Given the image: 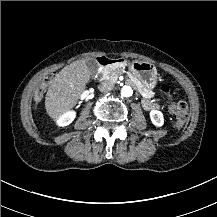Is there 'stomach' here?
Instances as JSON below:
<instances>
[{
	"mask_svg": "<svg viewBox=\"0 0 217 217\" xmlns=\"http://www.w3.org/2000/svg\"><path fill=\"white\" fill-rule=\"evenodd\" d=\"M132 74L148 88L153 89L157 84L158 74L156 66L146 61H132L128 63Z\"/></svg>",
	"mask_w": 217,
	"mask_h": 217,
	"instance_id": "0dacf381",
	"label": "stomach"
}]
</instances>
